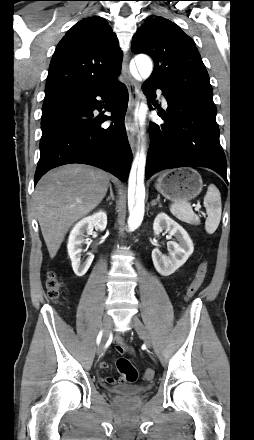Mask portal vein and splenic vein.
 Wrapping results in <instances>:
<instances>
[{
	"instance_id": "obj_1",
	"label": "portal vein and splenic vein",
	"mask_w": 254,
	"mask_h": 440,
	"mask_svg": "<svg viewBox=\"0 0 254 440\" xmlns=\"http://www.w3.org/2000/svg\"><path fill=\"white\" fill-rule=\"evenodd\" d=\"M199 210H200V206H199V205H196V206H195V211H198V212H199Z\"/></svg>"
}]
</instances>
